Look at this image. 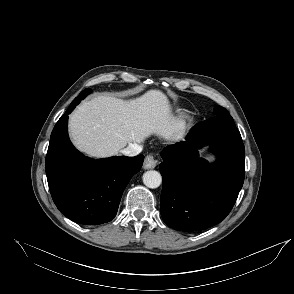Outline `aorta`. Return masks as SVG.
<instances>
[{"instance_id": "1", "label": "aorta", "mask_w": 294, "mask_h": 294, "mask_svg": "<svg viewBox=\"0 0 294 294\" xmlns=\"http://www.w3.org/2000/svg\"><path fill=\"white\" fill-rule=\"evenodd\" d=\"M143 183L148 188H157L162 183V176L159 172L155 170L146 171L143 174Z\"/></svg>"}]
</instances>
